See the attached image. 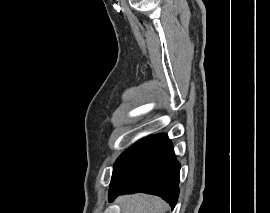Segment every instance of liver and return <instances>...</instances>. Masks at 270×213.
I'll return each mask as SVG.
<instances>
[{
	"instance_id": "obj_1",
	"label": "liver",
	"mask_w": 270,
	"mask_h": 213,
	"mask_svg": "<svg viewBox=\"0 0 270 213\" xmlns=\"http://www.w3.org/2000/svg\"><path fill=\"white\" fill-rule=\"evenodd\" d=\"M122 213H165L166 205L156 196L137 194L119 199Z\"/></svg>"
}]
</instances>
